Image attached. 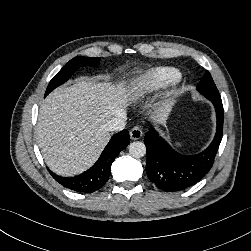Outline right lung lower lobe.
I'll list each match as a JSON object with an SVG mask.
<instances>
[{
	"label": "right lung lower lobe",
	"instance_id": "obj_1",
	"mask_svg": "<svg viewBox=\"0 0 251 251\" xmlns=\"http://www.w3.org/2000/svg\"><path fill=\"white\" fill-rule=\"evenodd\" d=\"M129 142L130 138L127 130L115 134L105 147L98 161L90 169L78 176L63 177L50 170L49 172L58 183L68 189L81 193H92L106 184L111 172L112 162L120 151L127 147Z\"/></svg>",
	"mask_w": 251,
	"mask_h": 251
}]
</instances>
